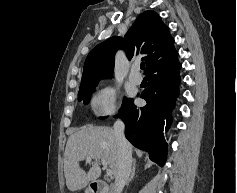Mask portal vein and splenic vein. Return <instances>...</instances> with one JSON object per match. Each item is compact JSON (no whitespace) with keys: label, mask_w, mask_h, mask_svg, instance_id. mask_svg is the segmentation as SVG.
I'll return each mask as SVG.
<instances>
[{"label":"portal vein and splenic vein","mask_w":237,"mask_h":193,"mask_svg":"<svg viewBox=\"0 0 237 193\" xmlns=\"http://www.w3.org/2000/svg\"><path fill=\"white\" fill-rule=\"evenodd\" d=\"M86 159L88 162H90L92 158L90 156H88ZM101 163L104 166V168L106 169L107 176L111 177L113 175V171L108 168L107 162L104 159H102Z\"/></svg>","instance_id":"portal-vein-and-splenic-vein-1"}]
</instances>
